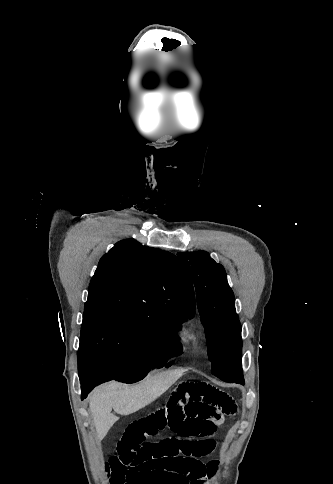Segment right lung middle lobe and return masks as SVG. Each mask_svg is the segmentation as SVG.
Returning a JSON list of instances; mask_svg holds the SVG:
<instances>
[{
	"mask_svg": "<svg viewBox=\"0 0 333 484\" xmlns=\"http://www.w3.org/2000/svg\"><path fill=\"white\" fill-rule=\"evenodd\" d=\"M184 317L146 315L123 309L85 310L78 351L79 377L98 367L127 383L143 379L153 368L181 353L177 329ZM167 363V364H166Z\"/></svg>",
	"mask_w": 333,
	"mask_h": 484,
	"instance_id": "right-lung-middle-lobe-1",
	"label": "right lung middle lobe"
}]
</instances>
